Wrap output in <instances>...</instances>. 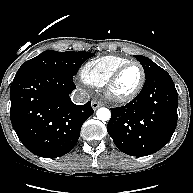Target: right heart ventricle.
<instances>
[{
  "label": "right heart ventricle",
  "mask_w": 193,
  "mask_h": 193,
  "mask_svg": "<svg viewBox=\"0 0 193 193\" xmlns=\"http://www.w3.org/2000/svg\"><path fill=\"white\" fill-rule=\"evenodd\" d=\"M129 61V59L120 56H101L85 63L80 71V77L84 83L90 86L103 87L110 75Z\"/></svg>",
  "instance_id": "1"
}]
</instances>
